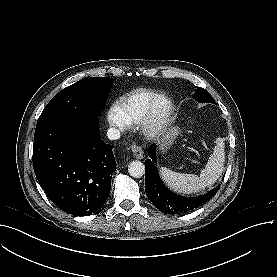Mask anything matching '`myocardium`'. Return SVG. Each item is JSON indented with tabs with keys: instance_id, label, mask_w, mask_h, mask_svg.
Returning a JSON list of instances; mask_svg holds the SVG:
<instances>
[{
	"instance_id": "myocardium-1",
	"label": "myocardium",
	"mask_w": 277,
	"mask_h": 277,
	"mask_svg": "<svg viewBox=\"0 0 277 277\" xmlns=\"http://www.w3.org/2000/svg\"><path fill=\"white\" fill-rule=\"evenodd\" d=\"M173 111V102L168 97L165 95L156 96L142 121V133L149 139L157 137L168 124Z\"/></svg>"
}]
</instances>
